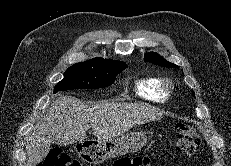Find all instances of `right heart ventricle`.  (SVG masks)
I'll return each instance as SVG.
<instances>
[{"mask_svg":"<svg viewBox=\"0 0 231 166\" xmlns=\"http://www.w3.org/2000/svg\"><path fill=\"white\" fill-rule=\"evenodd\" d=\"M134 90L136 95L144 100L163 103L168 99L161 87L160 78L156 76L148 75L137 79Z\"/></svg>","mask_w":231,"mask_h":166,"instance_id":"e07e8e85","label":"right heart ventricle"}]
</instances>
